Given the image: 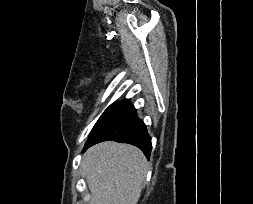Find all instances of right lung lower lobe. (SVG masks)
I'll return each mask as SVG.
<instances>
[{"instance_id":"98d812e1","label":"right lung lower lobe","mask_w":253,"mask_h":204,"mask_svg":"<svg viewBox=\"0 0 253 204\" xmlns=\"http://www.w3.org/2000/svg\"><path fill=\"white\" fill-rule=\"evenodd\" d=\"M107 140L129 143L140 148L149 159L151 138L142 120L137 117L136 109L125 100L91 134L83 152L90 146Z\"/></svg>"}]
</instances>
